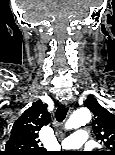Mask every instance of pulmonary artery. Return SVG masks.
<instances>
[{
	"label": "pulmonary artery",
	"instance_id": "pulmonary-artery-1",
	"mask_svg": "<svg viewBox=\"0 0 115 155\" xmlns=\"http://www.w3.org/2000/svg\"><path fill=\"white\" fill-rule=\"evenodd\" d=\"M87 138V132L83 129H79L64 138L60 144L63 149H77L87 142Z\"/></svg>",
	"mask_w": 115,
	"mask_h": 155
}]
</instances>
